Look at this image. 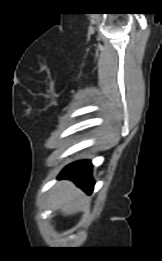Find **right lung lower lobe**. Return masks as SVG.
<instances>
[{
    "label": "right lung lower lobe",
    "mask_w": 162,
    "mask_h": 261,
    "mask_svg": "<svg viewBox=\"0 0 162 261\" xmlns=\"http://www.w3.org/2000/svg\"><path fill=\"white\" fill-rule=\"evenodd\" d=\"M91 170L92 164L90 161H78L66 166L60 173L59 178L72 180L87 194H91L94 186Z\"/></svg>",
    "instance_id": "obj_1"
}]
</instances>
